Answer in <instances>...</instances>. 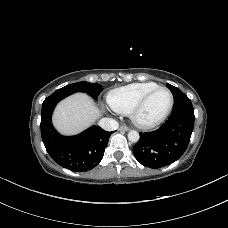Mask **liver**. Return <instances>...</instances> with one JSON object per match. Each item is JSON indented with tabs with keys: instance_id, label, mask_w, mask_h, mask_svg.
<instances>
[{
	"instance_id": "liver-1",
	"label": "liver",
	"mask_w": 228,
	"mask_h": 228,
	"mask_svg": "<svg viewBox=\"0 0 228 228\" xmlns=\"http://www.w3.org/2000/svg\"><path fill=\"white\" fill-rule=\"evenodd\" d=\"M99 117L100 111L93 99L84 93H76L57 105L53 124L61 134L74 135L88 128Z\"/></svg>"
}]
</instances>
